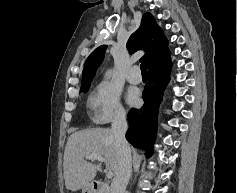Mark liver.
Returning <instances> with one entry per match:
<instances>
[{"label":"liver","instance_id":"6515ba94","mask_svg":"<svg viewBox=\"0 0 237 193\" xmlns=\"http://www.w3.org/2000/svg\"><path fill=\"white\" fill-rule=\"evenodd\" d=\"M91 154L103 156L106 169L115 174L119 157L111 129L87 128L70 135L63 162L67 190L76 192L92 183L99 166L84 160L86 155Z\"/></svg>","mask_w":237,"mask_h":193}]
</instances>
